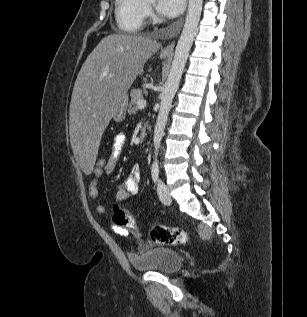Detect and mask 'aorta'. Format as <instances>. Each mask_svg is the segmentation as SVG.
Listing matches in <instances>:
<instances>
[{
	"label": "aorta",
	"instance_id": "762f6f07",
	"mask_svg": "<svg viewBox=\"0 0 307 317\" xmlns=\"http://www.w3.org/2000/svg\"><path fill=\"white\" fill-rule=\"evenodd\" d=\"M203 0H189L188 11L182 34L178 40L172 66L160 94V109L157 121L154 128L153 144H154V162L153 166H157L158 152L164 135L169 111L172 106V101L178 89L181 76L187 62L189 52L196 35L197 27L200 21L202 12Z\"/></svg>",
	"mask_w": 307,
	"mask_h": 317
}]
</instances>
